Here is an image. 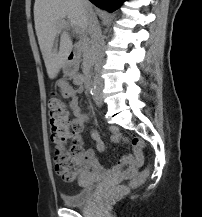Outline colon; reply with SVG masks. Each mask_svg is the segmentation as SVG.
Masks as SVG:
<instances>
[{
	"label": "colon",
	"instance_id": "5ec220e1",
	"mask_svg": "<svg viewBox=\"0 0 202 217\" xmlns=\"http://www.w3.org/2000/svg\"><path fill=\"white\" fill-rule=\"evenodd\" d=\"M48 123L51 141L54 144L55 170L65 180H74L80 171L79 156L82 153V142L72 138L70 144H66L68 134V119L64 103L57 96H53L48 103ZM134 148H141L144 142L140 138H134L132 141ZM150 172L144 169L140 175L130 182L131 187L142 184L149 178ZM123 185L116 186L108 197L119 196L127 191Z\"/></svg>",
	"mask_w": 202,
	"mask_h": 217
}]
</instances>
